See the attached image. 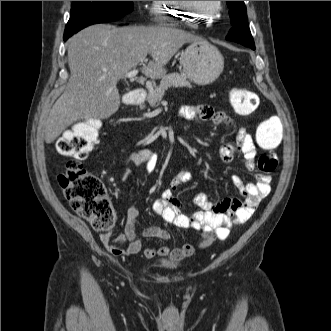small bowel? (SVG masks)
<instances>
[{
    "label": "small bowel",
    "instance_id": "c3829d8e",
    "mask_svg": "<svg viewBox=\"0 0 331 331\" xmlns=\"http://www.w3.org/2000/svg\"><path fill=\"white\" fill-rule=\"evenodd\" d=\"M179 115L185 120L198 118L202 121H213L215 124L231 126L229 116L207 105L184 106L179 110ZM235 153L243 156V167L248 171L255 168L256 156L255 142L250 133L244 128L237 132L235 144H225L220 148V158L224 163H230ZM157 161L156 154L149 149H142L131 153L126 158L128 164L145 166L149 172L153 171ZM192 173L188 169L179 171L171 180L169 186L164 189L159 199L152 205V211L165 222L178 228L191 229L201 232L197 245L202 242H212L216 238L225 239L234 225H239L249 220L257 209L261 200L270 192L271 177L265 174H256L255 182H245L240 176H233L234 186L244 196L240 200L228 196L221 201H211L205 194H198L194 198L197 210L186 213L183 204L177 199V189L189 182ZM140 216L138 207L131 204L126 211L124 233L112 239L109 233L103 234L101 240L105 248L114 255H131L143 251L147 258L155 256L168 257L172 260H181L191 256L195 251V244L186 243L180 248L171 249L168 246L143 248L140 236L158 238L167 241L169 233L158 226L150 225L143 227L140 232L137 223ZM122 245V247L117 246Z\"/></svg>",
    "mask_w": 331,
    "mask_h": 331
}]
</instances>
